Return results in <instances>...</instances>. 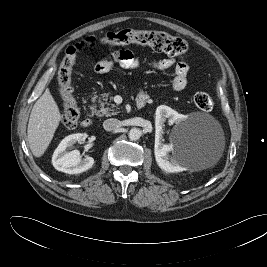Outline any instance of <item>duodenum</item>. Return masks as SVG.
<instances>
[{
    "mask_svg": "<svg viewBox=\"0 0 267 267\" xmlns=\"http://www.w3.org/2000/svg\"><path fill=\"white\" fill-rule=\"evenodd\" d=\"M147 102H148V96L145 93L138 95L136 100V105L139 109L145 107ZM92 122L93 120L91 117H85L82 120L81 124L83 127H89L92 124Z\"/></svg>",
    "mask_w": 267,
    "mask_h": 267,
    "instance_id": "1",
    "label": "duodenum"
}]
</instances>
